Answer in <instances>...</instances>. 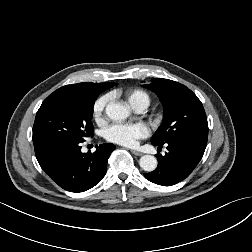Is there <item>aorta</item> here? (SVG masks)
<instances>
[{
	"label": "aorta",
	"instance_id": "762f6f07",
	"mask_svg": "<svg viewBox=\"0 0 252 252\" xmlns=\"http://www.w3.org/2000/svg\"><path fill=\"white\" fill-rule=\"evenodd\" d=\"M105 112L113 121H122L130 114L128 108L119 102H110ZM139 165L144 171L151 172L157 167V159L152 155H143L139 160Z\"/></svg>",
	"mask_w": 252,
	"mask_h": 252
}]
</instances>
